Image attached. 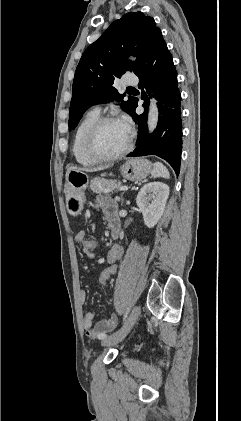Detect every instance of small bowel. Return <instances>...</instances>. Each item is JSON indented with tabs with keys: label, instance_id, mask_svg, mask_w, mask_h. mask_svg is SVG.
I'll return each instance as SVG.
<instances>
[{
	"label": "small bowel",
	"instance_id": "1",
	"mask_svg": "<svg viewBox=\"0 0 241 421\" xmlns=\"http://www.w3.org/2000/svg\"><path fill=\"white\" fill-rule=\"evenodd\" d=\"M99 206L102 208L106 218L108 219L112 215H117V208L114 202L109 200H99ZM86 240V232L80 230L75 235V241L82 244ZM124 252V248L120 244L113 245L106 256V262L109 264L117 263ZM89 258L93 259L94 255L91 252H85ZM86 298L85 290L81 289L79 291V299L81 302H84ZM94 313L88 311L83 319V326L86 332L87 337L90 339H99L100 336L104 335L105 332L111 330L115 325V317L110 319H104L99 321L95 326L93 325Z\"/></svg>",
	"mask_w": 241,
	"mask_h": 421
}]
</instances>
